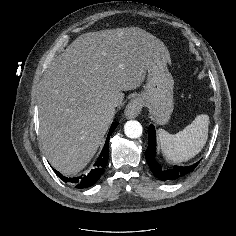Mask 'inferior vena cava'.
Returning <instances> with one entry per match:
<instances>
[{
	"instance_id": "obj_1",
	"label": "inferior vena cava",
	"mask_w": 236,
	"mask_h": 236,
	"mask_svg": "<svg viewBox=\"0 0 236 236\" xmlns=\"http://www.w3.org/2000/svg\"><path fill=\"white\" fill-rule=\"evenodd\" d=\"M116 106H117L116 103H112V104L110 105V107H111L112 109H114Z\"/></svg>"
}]
</instances>
